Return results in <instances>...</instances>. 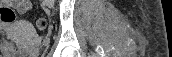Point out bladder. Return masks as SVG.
<instances>
[{
    "label": "bladder",
    "instance_id": "obj_1",
    "mask_svg": "<svg viewBox=\"0 0 172 57\" xmlns=\"http://www.w3.org/2000/svg\"><path fill=\"white\" fill-rule=\"evenodd\" d=\"M0 57H23V56L18 55L16 52H13V53H1Z\"/></svg>",
    "mask_w": 172,
    "mask_h": 57
}]
</instances>
